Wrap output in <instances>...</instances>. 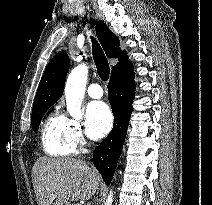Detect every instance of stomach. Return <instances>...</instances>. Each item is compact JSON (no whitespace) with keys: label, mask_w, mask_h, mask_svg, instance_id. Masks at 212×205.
Returning a JSON list of instances; mask_svg holds the SVG:
<instances>
[{"label":"stomach","mask_w":212,"mask_h":205,"mask_svg":"<svg viewBox=\"0 0 212 205\" xmlns=\"http://www.w3.org/2000/svg\"><path fill=\"white\" fill-rule=\"evenodd\" d=\"M53 205H70L66 200H56Z\"/></svg>","instance_id":"0dacf381"}]
</instances>
